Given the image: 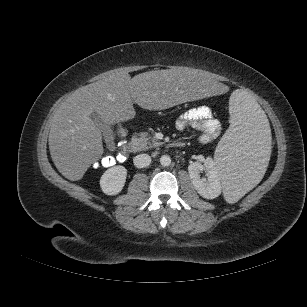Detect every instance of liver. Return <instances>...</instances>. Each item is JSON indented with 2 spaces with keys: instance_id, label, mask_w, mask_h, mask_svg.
<instances>
[{
  "instance_id": "6515ba94",
  "label": "liver",
  "mask_w": 307,
  "mask_h": 307,
  "mask_svg": "<svg viewBox=\"0 0 307 307\" xmlns=\"http://www.w3.org/2000/svg\"><path fill=\"white\" fill-rule=\"evenodd\" d=\"M226 85L208 72L178 67L135 75L109 73L75 90L56 110L49 133V150L58 171L71 181L82 179L103 154L101 130L91 115L114 125L135 117L133 103L147 110H164L187 101L223 94Z\"/></svg>"
}]
</instances>
